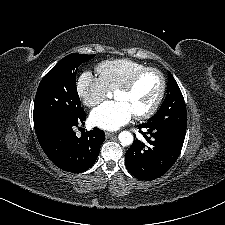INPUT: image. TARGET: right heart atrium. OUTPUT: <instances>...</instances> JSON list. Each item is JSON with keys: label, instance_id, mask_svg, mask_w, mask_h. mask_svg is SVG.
Segmentation results:
<instances>
[{"label": "right heart atrium", "instance_id": "d8ad5b80", "mask_svg": "<svg viewBox=\"0 0 225 225\" xmlns=\"http://www.w3.org/2000/svg\"><path fill=\"white\" fill-rule=\"evenodd\" d=\"M77 92L86 106L94 107L106 98L109 90L99 76L90 71H85L77 81Z\"/></svg>", "mask_w": 225, "mask_h": 225}]
</instances>
